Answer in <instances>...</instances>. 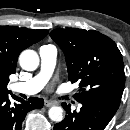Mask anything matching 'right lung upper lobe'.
<instances>
[{"instance_id":"obj_1","label":"right lung upper lobe","mask_w":130,"mask_h":130,"mask_svg":"<svg viewBox=\"0 0 130 130\" xmlns=\"http://www.w3.org/2000/svg\"><path fill=\"white\" fill-rule=\"evenodd\" d=\"M47 34V30L0 26V93L9 92V75L15 73L19 54Z\"/></svg>"}]
</instances>
